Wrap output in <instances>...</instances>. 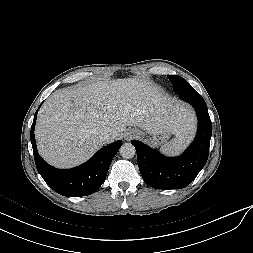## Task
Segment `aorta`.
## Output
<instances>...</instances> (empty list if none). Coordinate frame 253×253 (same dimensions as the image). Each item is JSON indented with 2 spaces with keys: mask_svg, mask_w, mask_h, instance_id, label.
I'll return each instance as SVG.
<instances>
[{
  "mask_svg": "<svg viewBox=\"0 0 253 253\" xmlns=\"http://www.w3.org/2000/svg\"><path fill=\"white\" fill-rule=\"evenodd\" d=\"M120 155L125 159L133 158L136 154V149L131 143H124L119 149Z\"/></svg>",
  "mask_w": 253,
  "mask_h": 253,
  "instance_id": "762f6f07",
  "label": "aorta"
}]
</instances>
